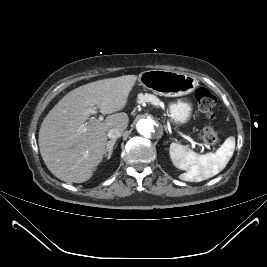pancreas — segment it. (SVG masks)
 Masks as SVG:
<instances>
[{
	"label": "pancreas",
	"mask_w": 267,
	"mask_h": 267,
	"mask_svg": "<svg viewBox=\"0 0 267 267\" xmlns=\"http://www.w3.org/2000/svg\"><path fill=\"white\" fill-rule=\"evenodd\" d=\"M137 101L138 103H151L155 106H159L160 104V100L155 95L148 93L139 94L137 97Z\"/></svg>",
	"instance_id": "1"
}]
</instances>
